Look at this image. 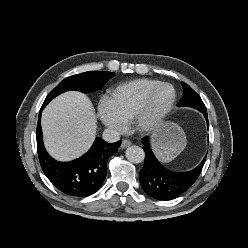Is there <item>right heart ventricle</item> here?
<instances>
[{
  "label": "right heart ventricle",
  "mask_w": 248,
  "mask_h": 248,
  "mask_svg": "<svg viewBox=\"0 0 248 248\" xmlns=\"http://www.w3.org/2000/svg\"><path fill=\"white\" fill-rule=\"evenodd\" d=\"M160 81L140 78L122 83L110 91L111 101L122 119L129 123L148 92Z\"/></svg>",
  "instance_id": "1"
}]
</instances>
